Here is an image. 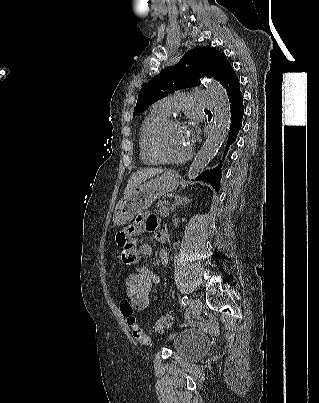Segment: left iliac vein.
I'll list each match as a JSON object with an SVG mask.
<instances>
[{
    "label": "left iliac vein",
    "mask_w": 319,
    "mask_h": 403,
    "mask_svg": "<svg viewBox=\"0 0 319 403\" xmlns=\"http://www.w3.org/2000/svg\"><path fill=\"white\" fill-rule=\"evenodd\" d=\"M190 306L192 308L193 311V318H197L200 313H201V309H202V302L199 298H195L194 300H192L190 302Z\"/></svg>",
    "instance_id": "1"
}]
</instances>
